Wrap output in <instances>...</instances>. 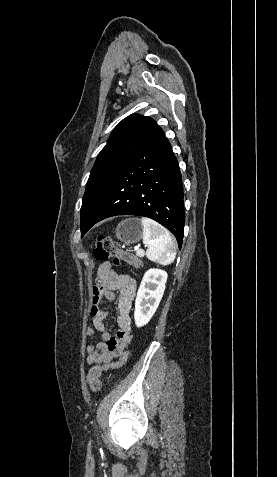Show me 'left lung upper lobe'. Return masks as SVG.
I'll return each mask as SVG.
<instances>
[{
    "label": "left lung upper lobe",
    "mask_w": 277,
    "mask_h": 477,
    "mask_svg": "<svg viewBox=\"0 0 277 477\" xmlns=\"http://www.w3.org/2000/svg\"><path fill=\"white\" fill-rule=\"evenodd\" d=\"M162 129L150 117L132 114L114 129L99 153L87 181L81 207V226L94 214L118 170Z\"/></svg>",
    "instance_id": "left-lung-upper-lobe-1"
}]
</instances>
